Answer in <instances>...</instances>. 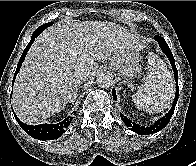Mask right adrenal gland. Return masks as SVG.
<instances>
[{"label":"right adrenal gland","mask_w":196,"mask_h":166,"mask_svg":"<svg viewBox=\"0 0 196 166\" xmlns=\"http://www.w3.org/2000/svg\"><path fill=\"white\" fill-rule=\"evenodd\" d=\"M77 92H78V89H76L75 94H74L73 98L69 101V103H72L75 101V99L77 97Z\"/></svg>","instance_id":"obj_1"}]
</instances>
